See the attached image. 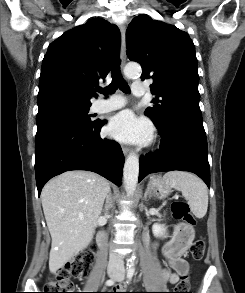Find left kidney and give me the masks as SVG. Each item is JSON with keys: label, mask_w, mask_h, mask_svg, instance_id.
Masks as SVG:
<instances>
[{"label": "left kidney", "mask_w": 245, "mask_h": 293, "mask_svg": "<svg viewBox=\"0 0 245 293\" xmlns=\"http://www.w3.org/2000/svg\"><path fill=\"white\" fill-rule=\"evenodd\" d=\"M152 232L156 237H162L166 234V228L164 225L155 223L152 226Z\"/></svg>", "instance_id": "left-kidney-1"}]
</instances>
